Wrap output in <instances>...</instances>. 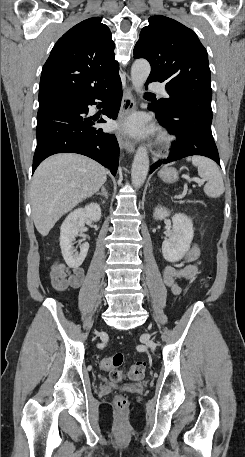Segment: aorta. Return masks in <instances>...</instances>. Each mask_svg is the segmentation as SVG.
<instances>
[{
  "label": "aorta",
  "instance_id": "1",
  "mask_svg": "<svg viewBox=\"0 0 245 457\" xmlns=\"http://www.w3.org/2000/svg\"><path fill=\"white\" fill-rule=\"evenodd\" d=\"M151 66L145 59L136 60L131 68V81L137 93H141L149 74ZM149 170V157L145 147H139L131 169V181L135 188H140L147 176Z\"/></svg>",
  "mask_w": 245,
  "mask_h": 457
}]
</instances>
